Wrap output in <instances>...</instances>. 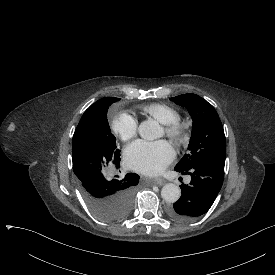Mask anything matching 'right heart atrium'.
<instances>
[{
	"label": "right heart atrium",
	"instance_id": "obj_1",
	"mask_svg": "<svg viewBox=\"0 0 275 275\" xmlns=\"http://www.w3.org/2000/svg\"><path fill=\"white\" fill-rule=\"evenodd\" d=\"M112 133L123 142H130L137 134V121L126 113L115 116L111 121Z\"/></svg>",
	"mask_w": 275,
	"mask_h": 275
}]
</instances>
